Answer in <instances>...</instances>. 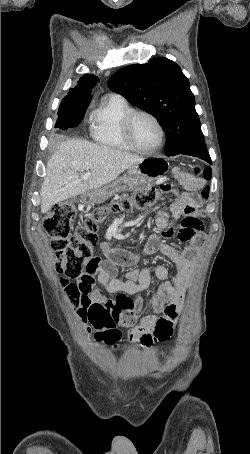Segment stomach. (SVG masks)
Wrapping results in <instances>:
<instances>
[{
    "label": "stomach",
    "mask_w": 250,
    "mask_h": 454,
    "mask_svg": "<svg viewBox=\"0 0 250 454\" xmlns=\"http://www.w3.org/2000/svg\"><path fill=\"white\" fill-rule=\"evenodd\" d=\"M167 167L160 158H147L127 169V175L103 187L89 190L81 195L84 204L101 203L122 189H147L163 179Z\"/></svg>",
    "instance_id": "stomach-1"
}]
</instances>
